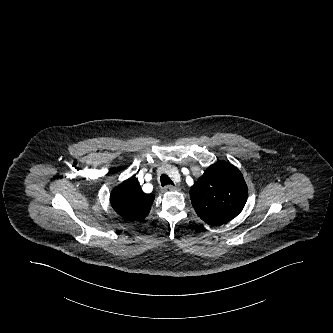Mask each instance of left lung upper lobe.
<instances>
[{
  "mask_svg": "<svg viewBox=\"0 0 333 333\" xmlns=\"http://www.w3.org/2000/svg\"><path fill=\"white\" fill-rule=\"evenodd\" d=\"M247 185L241 172L224 161L209 166L190 189L198 216L210 225L234 219L247 201Z\"/></svg>",
  "mask_w": 333,
  "mask_h": 333,
  "instance_id": "left-lung-upper-lobe-1",
  "label": "left lung upper lobe"
}]
</instances>
